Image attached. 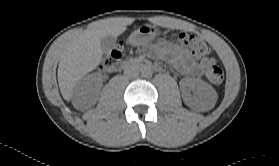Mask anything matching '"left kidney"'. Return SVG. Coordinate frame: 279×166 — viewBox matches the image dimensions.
Returning a JSON list of instances; mask_svg holds the SVG:
<instances>
[{
    "label": "left kidney",
    "mask_w": 279,
    "mask_h": 166,
    "mask_svg": "<svg viewBox=\"0 0 279 166\" xmlns=\"http://www.w3.org/2000/svg\"><path fill=\"white\" fill-rule=\"evenodd\" d=\"M188 87V88H186ZM190 89L194 95L190 93ZM217 93L208 83L198 78H184L182 81V98L192 109H203L215 103Z\"/></svg>",
    "instance_id": "obj_1"
}]
</instances>
